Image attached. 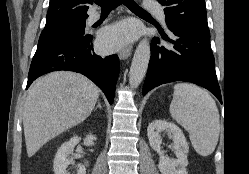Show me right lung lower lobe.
Listing matches in <instances>:
<instances>
[{"mask_svg":"<svg viewBox=\"0 0 249 174\" xmlns=\"http://www.w3.org/2000/svg\"><path fill=\"white\" fill-rule=\"evenodd\" d=\"M57 70L81 73L91 79L113 103L119 74L117 55L101 57L93 52L92 36L65 37L38 46L32 59L26 89L39 76Z\"/></svg>","mask_w":249,"mask_h":174,"instance_id":"obj_1","label":"right lung lower lobe"}]
</instances>
